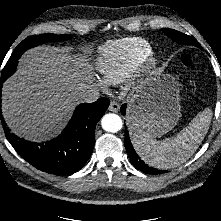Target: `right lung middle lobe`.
<instances>
[{"instance_id":"dd1d6c3e","label":"right lung middle lobe","mask_w":221,"mask_h":221,"mask_svg":"<svg viewBox=\"0 0 221 221\" xmlns=\"http://www.w3.org/2000/svg\"><path fill=\"white\" fill-rule=\"evenodd\" d=\"M70 38L71 36L68 35H54V34L29 36L17 46V49L10 57L9 61L7 62L6 66L2 71L1 81H5L15 72L18 59L20 58L22 53L27 49L35 47L39 44H43L45 42H57V41L68 40ZM19 51L22 52L20 55H18Z\"/></svg>"}]
</instances>
